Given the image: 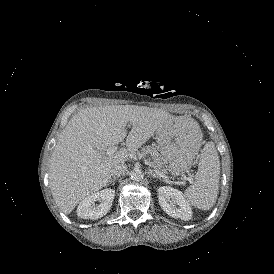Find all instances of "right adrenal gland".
I'll use <instances>...</instances> for the list:
<instances>
[{"mask_svg":"<svg viewBox=\"0 0 274 274\" xmlns=\"http://www.w3.org/2000/svg\"><path fill=\"white\" fill-rule=\"evenodd\" d=\"M114 182H115V179H111L110 181H109V184H114Z\"/></svg>","mask_w":274,"mask_h":274,"instance_id":"right-adrenal-gland-1","label":"right adrenal gland"}]
</instances>
